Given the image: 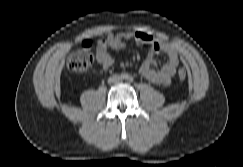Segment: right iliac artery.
Listing matches in <instances>:
<instances>
[{
	"label": "right iliac artery",
	"mask_w": 243,
	"mask_h": 167,
	"mask_svg": "<svg viewBox=\"0 0 243 167\" xmlns=\"http://www.w3.org/2000/svg\"><path fill=\"white\" fill-rule=\"evenodd\" d=\"M121 77L124 79V78H127V75L126 74H122Z\"/></svg>",
	"instance_id": "82829eb1"
}]
</instances>
